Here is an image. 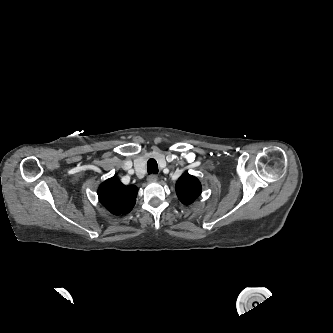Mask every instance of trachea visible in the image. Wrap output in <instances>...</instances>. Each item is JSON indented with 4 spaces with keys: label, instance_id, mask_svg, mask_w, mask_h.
<instances>
[{
    "label": "trachea",
    "instance_id": "3493384b",
    "mask_svg": "<svg viewBox=\"0 0 333 333\" xmlns=\"http://www.w3.org/2000/svg\"><path fill=\"white\" fill-rule=\"evenodd\" d=\"M147 172L148 174H157L158 165L155 159H149L147 162Z\"/></svg>",
    "mask_w": 333,
    "mask_h": 333
}]
</instances>
